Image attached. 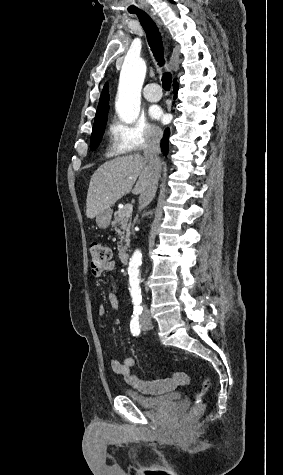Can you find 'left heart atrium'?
I'll return each instance as SVG.
<instances>
[{"label": "left heart atrium", "instance_id": "1", "mask_svg": "<svg viewBox=\"0 0 283 475\" xmlns=\"http://www.w3.org/2000/svg\"><path fill=\"white\" fill-rule=\"evenodd\" d=\"M150 115L155 121L163 122L165 120V115L160 109L152 111Z\"/></svg>", "mask_w": 283, "mask_h": 475}]
</instances>
